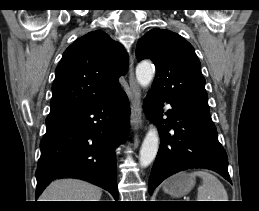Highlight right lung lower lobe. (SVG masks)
I'll return each instance as SVG.
<instances>
[{
	"instance_id": "right-lung-lower-lobe-1",
	"label": "right lung lower lobe",
	"mask_w": 259,
	"mask_h": 211,
	"mask_svg": "<svg viewBox=\"0 0 259 211\" xmlns=\"http://www.w3.org/2000/svg\"><path fill=\"white\" fill-rule=\"evenodd\" d=\"M130 106L125 92L87 107L49 114L37 164L36 199L59 178H78L118 199L115 148L125 141Z\"/></svg>"
}]
</instances>
